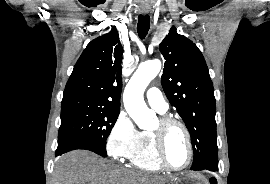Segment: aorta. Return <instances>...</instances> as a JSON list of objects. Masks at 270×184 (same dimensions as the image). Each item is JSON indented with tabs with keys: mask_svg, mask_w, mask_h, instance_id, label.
<instances>
[{
	"mask_svg": "<svg viewBox=\"0 0 270 184\" xmlns=\"http://www.w3.org/2000/svg\"><path fill=\"white\" fill-rule=\"evenodd\" d=\"M160 70L161 61L158 59L141 63L125 87V109L140 129H150L155 123L156 114L147 107L143 94Z\"/></svg>",
	"mask_w": 270,
	"mask_h": 184,
	"instance_id": "1",
	"label": "aorta"
}]
</instances>
